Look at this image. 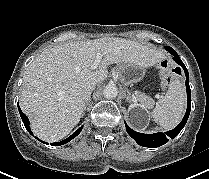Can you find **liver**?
Segmentation results:
<instances>
[{
    "label": "liver",
    "mask_w": 209,
    "mask_h": 179,
    "mask_svg": "<svg viewBox=\"0 0 209 179\" xmlns=\"http://www.w3.org/2000/svg\"><path fill=\"white\" fill-rule=\"evenodd\" d=\"M102 59L92 69L97 54ZM163 51L115 37L76 41L45 49L26 69L20 107L31 120L35 135L47 142L66 137L80 121L84 95L108 76L111 64L154 66Z\"/></svg>",
    "instance_id": "6515ba94"
}]
</instances>
